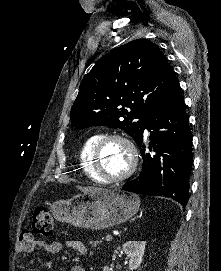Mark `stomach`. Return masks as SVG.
<instances>
[{
  "mask_svg": "<svg viewBox=\"0 0 221 271\" xmlns=\"http://www.w3.org/2000/svg\"><path fill=\"white\" fill-rule=\"evenodd\" d=\"M54 213L63 221L85 229H105L123 223L137 213L140 199L136 193L114 187L109 191H92L77 197H59Z\"/></svg>",
  "mask_w": 221,
  "mask_h": 271,
  "instance_id": "0dacf381",
  "label": "stomach"
}]
</instances>
